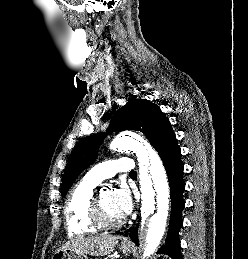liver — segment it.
<instances>
[{
	"mask_svg": "<svg viewBox=\"0 0 248 259\" xmlns=\"http://www.w3.org/2000/svg\"><path fill=\"white\" fill-rule=\"evenodd\" d=\"M121 237L112 235L79 237L71 239L59 250L71 249L79 253L91 256H106L111 254Z\"/></svg>",
	"mask_w": 248,
	"mask_h": 259,
	"instance_id": "6515ba94",
	"label": "liver"
}]
</instances>
